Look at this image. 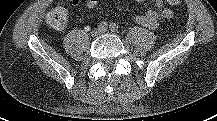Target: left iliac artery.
<instances>
[{"label":"left iliac artery","instance_id":"obj_1","mask_svg":"<svg viewBox=\"0 0 217 121\" xmlns=\"http://www.w3.org/2000/svg\"><path fill=\"white\" fill-rule=\"evenodd\" d=\"M109 28L112 32H116L118 30V25L115 23H111Z\"/></svg>","mask_w":217,"mask_h":121}]
</instances>
